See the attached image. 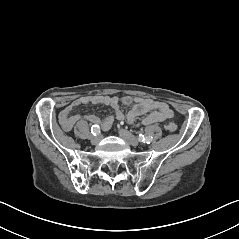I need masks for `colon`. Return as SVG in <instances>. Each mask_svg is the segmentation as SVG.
Wrapping results in <instances>:
<instances>
[{"instance_id":"colon-1","label":"colon","mask_w":239,"mask_h":239,"mask_svg":"<svg viewBox=\"0 0 239 239\" xmlns=\"http://www.w3.org/2000/svg\"><path fill=\"white\" fill-rule=\"evenodd\" d=\"M167 129L170 131V132H175L176 131V124L174 122H170L168 125H167Z\"/></svg>"}]
</instances>
